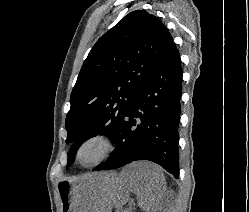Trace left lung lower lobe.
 <instances>
[{"label":"left lung lower lobe","mask_w":249,"mask_h":212,"mask_svg":"<svg viewBox=\"0 0 249 212\" xmlns=\"http://www.w3.org/2000/svg\"><path fill=\"white\" fill-rule=\"evenodd\" d=\"M181 83L180 56L172 43L132 99L120 123L115 150L93 170L149 160L178 178Z\"/></svg>","instance_id":"left-lung-lower-lobe-1"}]
</instances>
